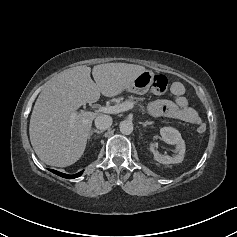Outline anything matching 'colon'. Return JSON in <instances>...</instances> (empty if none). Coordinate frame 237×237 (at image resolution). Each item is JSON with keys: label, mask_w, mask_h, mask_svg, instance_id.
Wrapping results in <instances>:
<instances>
[{"label": "colon", "mask_w": 237, "mask_h": 237, "mask_svg": "<svg viewBox=\"0 0 237 237\" xmlns=\"http://www.w3.org/2000/svg\"><path fill=\"white\" fill-rule=\"evenodd\" d=\"M168 89V79L161 74L154 75L152 79V84L150 91L157 95L164 94ZM206 125L204 123H201L197 127V131L200 134H204L206 132Z\"/></svg>", "instance_id": "obj_1"}]
</instances>
